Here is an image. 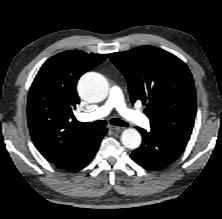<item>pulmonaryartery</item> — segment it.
<instances>
[{"mask_svg": "<svg viewBox=\"0 0 222 219\" xmlns=\"http://www.w3.org/2000/svg\"><path fill=\"white\" fill-rule=\"evenodd\" d=\"M112 108H115L119 114L128 122L142 127H147L149 125V119L143 113L137 110H133L126 105L122 91L118 86L112 87L110 97L104 105L100 106L91 113L80 115L79 119L81 121L101 119L107 116Z\"/></svg>", "mask_w": 222, "mask_h": 219, "instance_id": "1", "label": "pulmonary artery"}]
</instances>
